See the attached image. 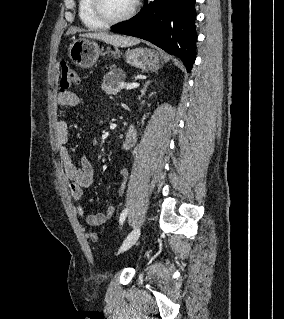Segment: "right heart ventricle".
I'll return each mask as SVG.
<instances>
[{
    "label": "right heart ventricle",
    "instance_id": "e07e8e85",
    "mask_svg": "<svg viewBox=\"0 0 284 319\" xmlns=\"http://www.w3.org/2000/svg\"><path fill=\"white\" fill-rule=\"evenodd\" d=\"M78 15L83 25L88 29L98 30L106 26L94 15L91 0H78Z\"/></svg>",
    "mask_w": 284,
    "mask_h": 319
}]
</instances>
